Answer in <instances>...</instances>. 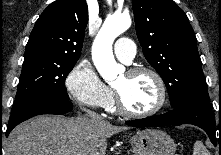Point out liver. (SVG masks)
<instances>
[{
    "label": "liver",
    "mask_w": 221,
    "mask_h": 155,
    "mask_svg": "<svg viewBox=\"0 0 221 155\" xmlns=\"http://www.w3.org/2000/svg\"><path fill=\"white\" fill-rule=\"evenodd\" d=\"M127 129L85 116H37L12 130L4 155H105L107 138Z\"/></svg>",
    "instance_id": "obj_1"
}]
</instances>
